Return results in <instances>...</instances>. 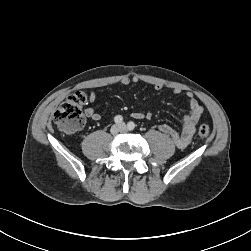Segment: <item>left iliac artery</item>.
<instances>
[{"label": "left iliac artery", "instance_id": "obj_1", "mask_svg": "<svg viewBox=\"0 0 251 251\" xmlns=\"http://www.w3.org/2000/svg\"><path fill=\"white\" fill-rule=\"evenodd\" d=\"M127 127H128L129 130H134V128H135V123L132 122V121H130V122L127 124Z\"/></svg>", "mask_w": 251, "mask_h": 251}]
</instances>
